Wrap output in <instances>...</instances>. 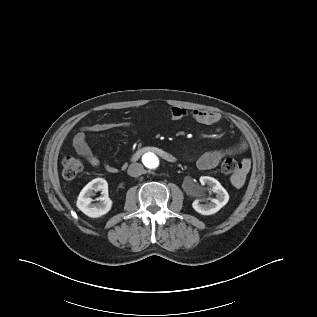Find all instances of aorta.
I'll use <instances>...</instances> for the list:
<instances>
[{"label":"aorta","instance_id":"aorta-1","mask_svg":"<svg viewBox=\"0 0 317 317\" xmlns=\"http://www.w3.org/2000/svg\"><path fill=\"white\" fill-rule=\"evenodd\" d=\"M142 161H143L144 165L149 169H154L159 165V159L153 153H146L143 156Z\"/></svg>","mask_w":317,"mask_h":317}]
</instances>
